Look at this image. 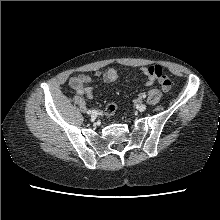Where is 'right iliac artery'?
<instances>
[{"instance_id":"right-iliac-artery-1","label":"right iliac artery","mask_w":220,"mask_h":220,"mask_svg":"<svg viewBox=\"0 0 220 220\" xmlns=\"http://www.w3.org/2000/svg\"><path fill=\"white\" fill-rule=\"evenodd\" d=\"M91 112H92L91 110H88V111H87L88 114H91Z\"/></svg>"}]
</instances>
